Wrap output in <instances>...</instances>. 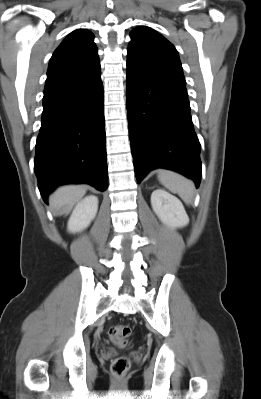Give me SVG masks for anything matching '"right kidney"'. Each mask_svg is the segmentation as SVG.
I'll use <instances>...</instances> for the list:
<instances>
[{"mask_svg": "<svg viewBox=\"0 0 261 399\" xmlns=\"http://www.w3.org/2000/svg\"><path fill=\"white\" fill-rule=\"evenodd\" d=\"M97 211L98 198L96 196L90 195L80 200L68 220V231L76 233L87 228L96 217Z\"/></svg>", "mask_w": 261, "mask_h": 399, "instance_id": "obj_1", "label": "right kidney"}]
</instances>
